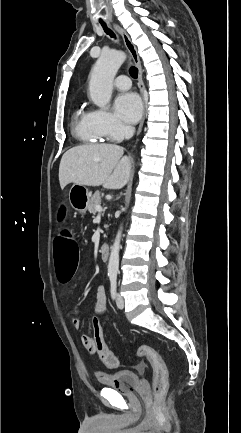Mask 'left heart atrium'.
<instances>
[{
	"label": "left heart atrium",
	"mask_w": 241,
	"mask_h": 433,
	"mask_svg": "<svg viewBox=\"0 0 241 433\" xmlns=\"http://www.w3.org/2000/svg\"><path fill=\"white\" fill-rule=\"evenodd\" d=\"M114 110L122 121L128 124H133L141 117L143 105L137 94L127 92L116 97L114 101Z\"/></svg>",
	"instance_id": "1"
}]
</instances>
